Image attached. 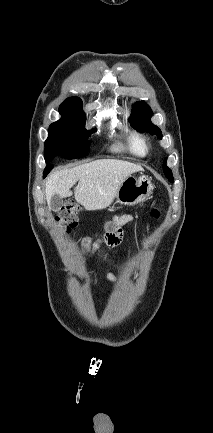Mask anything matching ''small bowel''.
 Returning a JSON list of instances; mask_svg holds the SVG:
<instances>
[{
    "label": "small bowel",
    "instance_id": "c3829d8e",
    "mask_svg": "<svg viewBox=\"0 0 213 433\" xmlns=\"http://www.w3.org/2000/svg\"><path fill=\"white\" fill-rule=\"evenodd\" d=\"M131 222L132 216L129 214L116 215L113 221L106 225L103 236L98 238L90 235L82 237L80 240L81 250L86 255L93 256L102 245H118L123 237L121 227L129 225ZM107 278L111 281L115 280L114 275L111 273L107 274Z\"/></svg>",
    "mask_w": 213,
    "mask_h": 433
}]
</instances>
